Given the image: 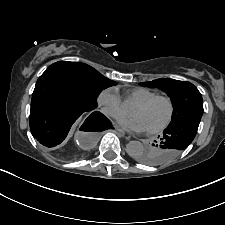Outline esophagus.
<instances>
[{
	"label": "esophagus",
	"instance_id": "34e87169",
	"mask_svg": "<svg viewBox=\"0 0 225 225\" xmlns=\"http://www.w3.org/2000/svg\"><path fill=\"white\" fill-rule=\"evenodd\" d=\"M114 132L120 136H125V132L119 127H116Z\"/></svg>",
	"mask_w": 225,
	"mask_h": 225
}]
</instances>
